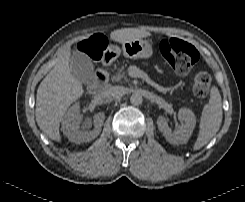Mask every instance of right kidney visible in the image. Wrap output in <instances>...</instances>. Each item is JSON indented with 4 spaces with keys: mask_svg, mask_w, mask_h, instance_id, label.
Listing matches in <instances>:
<instances>
[{
    "mask_svg": "<svg viewBox=\"0 0 245 202\" xmlns=\"http://www.w3.org/2000/svg\"><path fill=\"white\" fill-rule=\"evenodd\" d=\"M105 115L97 113L93 117L94 129L91 130L92 122L87 120L80 127L82 116L80 114V106L75 103L71 106L62 119V130L71 142L80 144L94 140L101 132Z\"/></svg>",
    "mask_w": 245,
    "mask_h": 202,
    "instance_id": "1",
    "label": "right kidney"
}]
</instances>
